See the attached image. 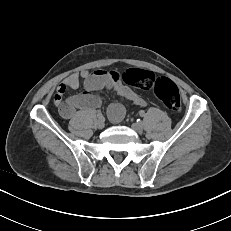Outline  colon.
Returning <instances> with one entry per match:
<instances>
[{
  "mask_svg": "<svg viewBox=\"0 0 231 231\" xmlns=\"http://www.w3.org/2000/svg\"><path fill=\"white\" fill-rule=\"evenodd\" d=\"M122 82L141 90H153L158 99L171 111H179L181 98L177 86L165 77H156L142 69H129L121 74Z\"/></svg>",
  "mask_w": 231,
  "mask_h": 231,
  "instance_id": "5ec220e1",
  "label": "colon"
}]
</instances>
